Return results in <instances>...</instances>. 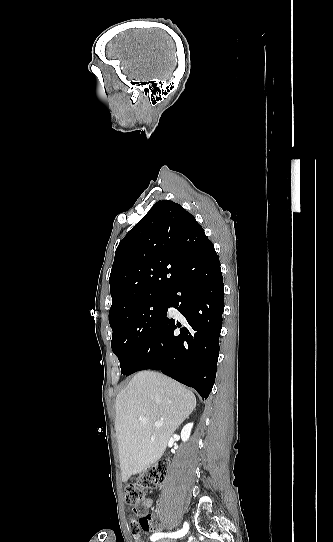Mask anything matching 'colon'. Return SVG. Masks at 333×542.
<instances>
[{
  "label": "colon",
  "instance_id": "obj_1",
  "mask_svg": "<svg viewBox=\"0 0 333 542\" xmlns=\"http://www.w3.org/2000/svg\"><path fill=\"white\" fill-rule=\"evenodd\" d=\"M167 468L164 464L163 470ZM162 481L161 472L153 465L149 466L145 473H143L134 483H129L127 489H124L125 501L131 507L129 510L128 518L132 521V531L139 539V531L137 525L143 526L146 522L145 513L149 510V505L146 501L147 492L154 489L157 485H160Z\"/></svg>",
  "mask_w": 333,
  "mask_h": 542
}]
</instances>
